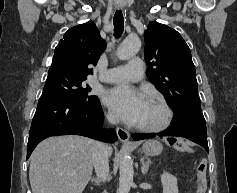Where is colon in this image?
Returning a JSON list of instances; mask_svg holds the SVG:
<instances>
[{
	"label": "colon",
	"instance_id": "colon-1",
	"mask_svg": "<svg viewBox=\"0 0 237 193\" xmlns=\"http://www.w3.org/2000/svg\"><path fill=\"white\" fill-rule=\"evenodd\" d=\"M167 142L174 149L188 153L191 151V144L181 138L173 137L167 140ZM197 178H198V193H204L207 187V160L200 159L197 163Z\"/></svg>",
	"mask_w": 237,
	"mask_h": 193
}]
</instances>
